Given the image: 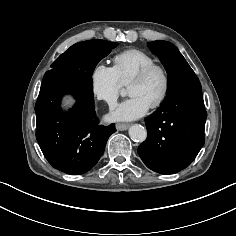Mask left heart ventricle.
Returning <instances> with one entry per match:
<instances>
[{
    "label": "left heart ventricle",
    "instance_id": "1",
    "mask_svg": "<svg viewBox=\"0 0 236 236\" xmlns=\"http://www.w3.org/2000/svg\"><path fill=\"white\" fill-rule=\"evenodd\" d=\"M163 85L162 75L159 72H154L144 82L130 85L128 87V94L130 96H139L149 105H152L160 96Z\"/></svg>",
    "mask_w": 236,
    "mask_h": 236
}]
</instances>
